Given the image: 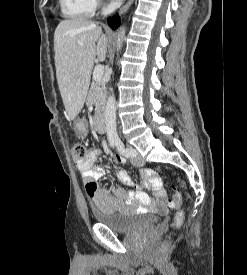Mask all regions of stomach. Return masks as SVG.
<instances>
[{
	"label": "stomach",
	"instance_id": "stomach-1",
	"mask_svg": "<svg viewBox=\"0 0 247 275\" xmlns=\"http://www.w3.org/2000/svg\"><path fill=\"white\" fill-rule=\"evenodd\" d=\"M75 129L77 133L81 136L86 133V124L81 120H76L74 122Z\"/></svg>",
	"mask_w": 247,
	"mask_h": 275
}]
</instances>
